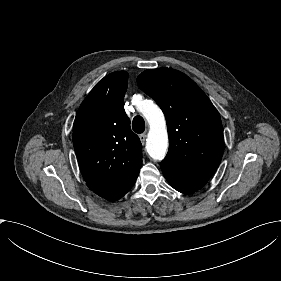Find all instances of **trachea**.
I'll return each instance as SVG.
<instances>
[{"label":"trachea","mask_w":281,"mask_h":281,"mask_svg":"<svg viewBox=\"0 0 281 281\" xmlns=\"http://www.w3.org/2000/svg\"><path fill=\"white\" fill-rule=\"evenodd\" d=\"M133 131L140 134L145 130V122L141 116H135L132 122Z\"/></svg>","instance_id":"trachea-1"}]
</instances>
